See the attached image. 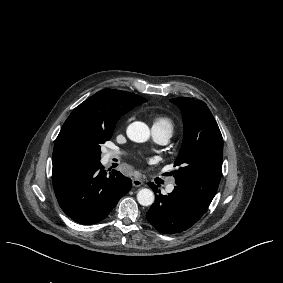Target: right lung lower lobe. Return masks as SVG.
<instances>
[{
	"mask_svg": "<svg viewBox=\"0 0 283 283\" xmlns=\"http://www.w3.org/2000/svg\"><path fill=\"white\" fill-rule=\"evenodd\" d=\"M131 186V180L116 170L107 176L100 162L53 183L62 210L81 224L103 220Z\"/></svg>",
	"mask_w": 283,
	"mask_h": 283,
	"instance_id": "1",
	"label": "right lung lower lobe"
}]
</instances>
